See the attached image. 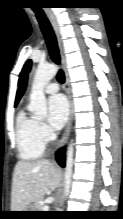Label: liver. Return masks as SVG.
<instances>
[{
    "label": "liver",
    "instance_id": "1",
    "mask_svg": "<svg viewBox=\"0 0 123 219\" xmlns=\"http://www.w3.org/2000/svg\"><path fill=\"white\" fill-rule=\"evenodd\" d=\"M60 181L61 170L47 159L18 161L12 182V211H24L47 192L54 191Z\"/></svg>",
    "mask_w": 123,
    "mask_h": 219
}]
</instances>
